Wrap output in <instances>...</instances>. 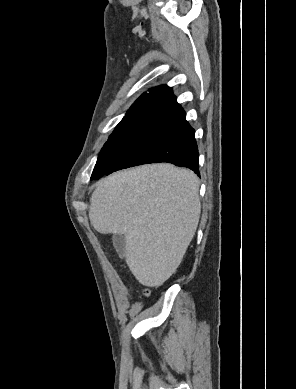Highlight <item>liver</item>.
Returning a JSON list of instances; mask_svg holds the SVG:
<instances>
[{
    "instance_id": "obj_1",
    "label": "liver",
    "mask_w": 296,
    "mask_h": 389,
    "mask_svg": "<svg viewBox=\"0 0 296 389\" xmlns=\"http://www.w3.org/2000/svg\"><path fill=\"white\" fill-rule=\"evenodd\" d=\"M199 181L169 163L116 172L98 182L89 219L101 234H123L126 263L144 286L156 287L180 265L198 226Z\"/></svg>"
}]
</instances>
